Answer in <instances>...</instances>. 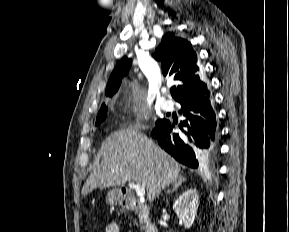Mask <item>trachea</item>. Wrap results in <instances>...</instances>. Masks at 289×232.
<instances>
[{"label": "trachea", "instance_id": "obj_1", "mask_svg": "<svg viewBox=\"0 0 289 232\" xmlns=\"http://www.w3.org/2000/svg\"><path fill=\"white\" fill-rule=\"evenodd\" d=\"M173 90H174V88H171V89H170V92H173Z\"/></svg>", "mask_w": 289, "mask_h": 232}]
</instances>
